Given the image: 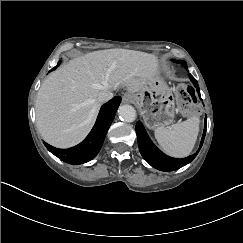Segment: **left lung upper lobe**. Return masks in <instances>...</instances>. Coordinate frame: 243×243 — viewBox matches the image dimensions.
I'll use <instances>...</instances> for the list:
<instances>
[{
	"mask_svg": "<svg viewBox=\"0 0 243 243\" xmlns=\"http://www.w3.org/2000/svg\"><path fill=\"white\" fill-rule=\"evenodd\" d=\"M174 62H177V63H181V64H182L184 61H175V60H174Z\"/></svg>",
	"mask_w": 243,
	"mask_h": 243,
	"instance_id": "obj_1",
	"label": "left lung upper lobe"
}]
</instances>
